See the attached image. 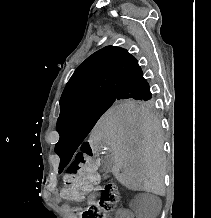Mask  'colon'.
<instances>
[{
	"instance_id": "5ec220e1",
	"label": "colon",
	"mask_w": 211,
	"mask_h": 218,
	"mask_svg": "<svg viewBox=\"0 0 211 218\" xmlns=\"http://www.w3.org/2000/svg\"><path fill=\"white\" fill-rule=\"evenodd\" d=\"M100 182L99 160L92 145L84 143L76 153L64 176L62 197L66 200L80 201L94 190ZM119 192L115 184L107 183L97 200L77 211V218H106L118 201Z\"/></svg>"
}]
</instances>
